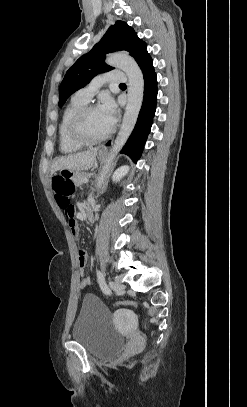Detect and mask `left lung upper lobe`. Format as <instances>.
Instances as JSON below:
<instances>
[{"instance_id": "1", "label": "left lung upper lobe", "mask_w": 247, "mask_h": 407, "mask_svg": "<svg viewBox=\"0 0 247 407\" xmlns=\"http://www.w3.org/2000/svg\"><path fill=\"white\" fill-rule=\"evenodd\" d=\"M128 51L136 62L147 53L146 44L125 22L117 21L88 53L81 56L66 72L59 87V106L75 91L86 86L99 72L113 69L104 63L105 55L115 51Z\"/></svg>"}]
</instances>
